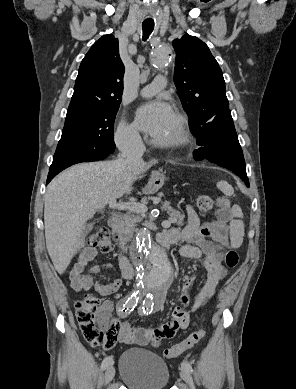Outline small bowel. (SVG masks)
Returning a JSON list of instances; mask_svg holds the SVG:
<instances>
[{
    "label": "small bowel",
    "mask_w": 296,
    "mask_h": 389,
    "mask_svg": "<svg viewBox=\"0 0 296 389\" xmlns=\"http://www.w3.org/2000/svg\"><path fill=\"white\" fill-rule=\"evenodd\" d=\"M187 225L180 231L176 228L161 234L170 236L175 242L181 241L180 256L184 259H191L201 263L206 270V279L202 288L191 297L187 290L191 285V277L187 276L184 281L186 292L175 307L172 319L159 327L137 328L132 326L128 320L120 324L119 341L128 345H152L158 347L164 340L173 338L178 331L189 325V315L185 308L192 304L194 311L201 309L206 302L215 294L219 282L227 275V269L222 263L223 252L220 251L215 241L223 244L228 242V222L231 218V211L226 200L218 201L217 219L209 223H202L192 206H187ZM159 236V237H160ZM211 237L214 239L208 240ZM97 255L96 249L84 248L74 267L70 271L71 286L75 291H87L91 288L101 296H109L116 293L122 285V279L116 278L107 284H101L95 280L93 275L101 269H112V264L94 265L87 272L85 268ZM124 277V276H123ZM125 278V277H124ZM103 306L110 312L114 309V303L106 300Z\"/></svg>",
    "instance_id": "small-bowel-1"
}]
</instances>
